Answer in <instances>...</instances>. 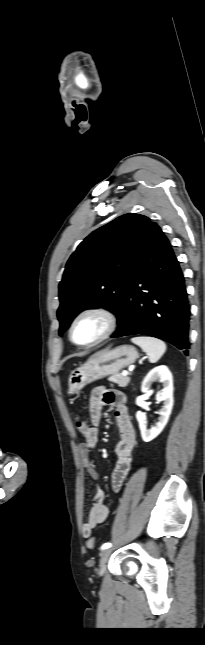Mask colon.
I'll use <instances>...</instances> for the list:
<instances>
[{
	"label": "colon",
	"mask_w": 205,
	"mask_h": 645,
	"mask_svg": "<svg viewBox=\"0 0 205 645\" xmlns=\"http://www.w3.org/2000/svg\"><path fill=\"white\" fill-rule=\"evenodd\" d=\"M74 425H75L76 429L78 430V432H79L83 437H86V436L88 435V432H89V422H88V419H87V418H85V417H83V416H80V415H76V416L74 417ZM87 547H88L89 549H91V550H94V549H95V547H96V541H95V538H94V537H89V538H88V540H87Z\"/></svg>",
	"instance_id": "5ec220e1"
}]
</instances>
